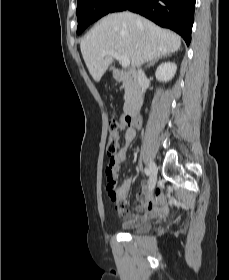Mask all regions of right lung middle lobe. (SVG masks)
<instances>
[{"instance_id": "obj_1", "label": "right lung middle lobe", "mask_w": 229, "mask_h": 280, "mask_svg": "<svg viewBox=\"0 0 229 280\" xmlns=\"http://www.w3.org/2000/svg\"><path fill=\"white\" fill-rule=\"evenodd\" d=\"M118 0H78L77 4V34H80L91 23L111 12Z\"/></svg>"}]
</instances>
